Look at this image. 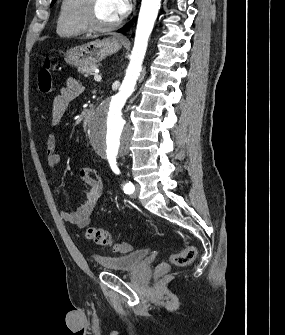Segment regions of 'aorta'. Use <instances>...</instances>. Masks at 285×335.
I'll use <instances>...</instances> for the list:
<instances>
[{
    "instance_id": "obj_1",
    "label": "aorta",
    "mask_w": 285,
    "mask_h": 335,
    "mask_svg": "<svg viewBox=\"0 0 285 335\" xmlns=\"http://www.w3.org/2000/svg\"><path fill=\"white\" fill-rule=\"evenodd\" d=\"M161 0H142L139 12L134 48L130 56V64L119 90H113L106 100L96 105L92 112L89 127L85 134L92 137L91 147H97L96 156L101 160H120L125 152H130L131 137L134 131L126 125L123 112L127 102L133 101L136 82L142 72V64L146 54L149 36L158 16Z\"/></svg>"
}]
</instances>
